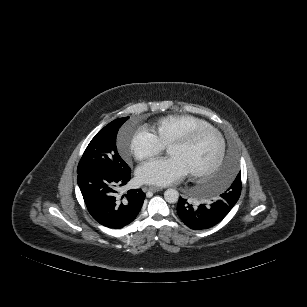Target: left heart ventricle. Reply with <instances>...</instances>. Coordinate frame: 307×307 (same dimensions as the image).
Returning <instances> with one entry per match:
<instances>
[{
	"instance_id": "1",
	"label": "left heart ventricle",
	"mask_w": 307,
	"mask_h": 307,
	"mask_svg": "<svg viewBox=\"0 0 307 307\" xmlns=\"http://www.w3.org/2000/svg\"><path fill=\"white\" fill-rule=\"evenodd\" d=\"M218 149L217 137L211 133H204L191 145L172 146L168 153L178 157L188 170L192 171L211 166L217 157Z\"/></svg>"
}]
</instances>
